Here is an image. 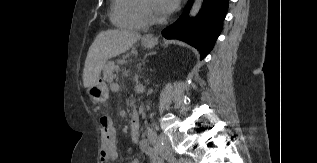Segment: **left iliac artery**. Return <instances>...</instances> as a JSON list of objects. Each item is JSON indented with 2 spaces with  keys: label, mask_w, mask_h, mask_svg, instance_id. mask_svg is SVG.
Listing matches in <instances>:
<instances>
[{
  "label": "left iliac artery",
  "mask_w": 317,
  "mask_h": 163,
  "mask_svg": "<svg viewBox=\"0 0 317 163\" xmlns=\"http://www.w3.org/2000/svg\"><path fill=\"white\" fill-rule=\"evenodd\" d=\"M168 161L170 163H178L177 160L174 157L168 156Z\"/></svg>",
  "instance_id": "44dca946"
}]
</instances>
